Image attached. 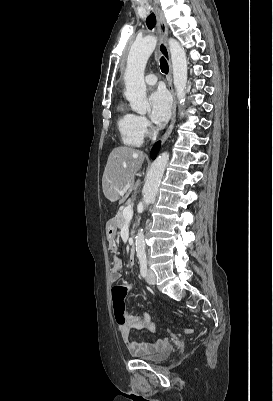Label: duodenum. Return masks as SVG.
Instances as JSON below:
<instances>
[{
	"mask_svg": "<svg viewBox=\"0 0 273 401\" xmlns=\"http://www.w3.org/2000/svg\"><path fill=\"white\" fill-rule=\"evenodd\" d=\"M136 256L135 247L132 245L129 250V259L131 262H134Z\"/></svg>",
	"mask_w": 273,
	"mask_h": 401,
	"instance_id": "obj_1",
	"label": "duodenum"
}]
</instances>
